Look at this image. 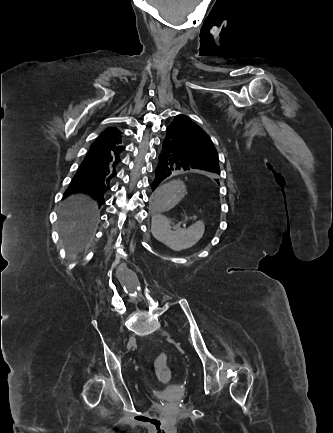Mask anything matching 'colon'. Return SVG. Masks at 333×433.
<instances>
[{"label":"colon","mask_w":333,"mask_h":433,"mask_svg":"<svg viewBox=\"0 0 333 433\" xmlns=\"http://www.w3.org/2000/svg\"><path fill=\"white\" fill-rule=\"evenodd\" d=\"M155 371L159 380L167 383L171 379V370L169 367V356L167 353L162 352L158 355L155 361Z\"/></svg>","instance_id":"5ec220e1"}]
</instances>
